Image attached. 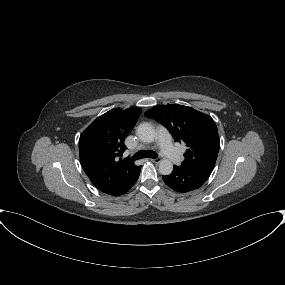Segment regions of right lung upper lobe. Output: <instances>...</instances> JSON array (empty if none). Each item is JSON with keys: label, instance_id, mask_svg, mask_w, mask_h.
Segmentation results:
<instances>
[{"label": "right lung upper lobe", "instance_id": "obj_1", "mask_svg": "<svg viewBox=\"0 0 285 285\" xmlns=\"http://www.w3.org/2000/svg\"><path fill=\"white\" fill-rule=\"evenodd\" d=\"M140 113V108L112 109L95 119L79 138L82 168L102 192L124 184L140 169L133 161L118 158Z\"/></svg>", "mask_w": 285, "mask_h": 285}]
</instances>
